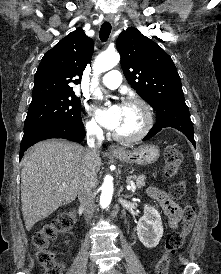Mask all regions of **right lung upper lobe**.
I'll return each mask as SVG.
<instances>
[{"mask_svg": "<svg viewBox=\"0 0 221 274\" xmlns=\"http://www.w3.org/2000/svg\"><path fill=\"white\" fill-rule=\"evenodd\" d=\"M94 50L82 28L64 37L43 56L34 78L32 99L74 93ZM79 78V79H78Z\"/></svg>", "mask_w": 221, "mask_h": 274, "instance_id": "1", "label": "right lung upper lobe"}]
</instances>
